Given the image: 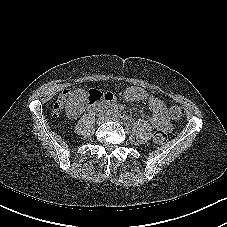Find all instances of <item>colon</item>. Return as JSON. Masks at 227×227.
<instances>
[{"mask_svg":"<svg viewBox=\"0 0 227 227\" xmlns=\"http://www.w3.org/2000/svg\"><path fill=\"white\" fill-rule=\"evenodd\" d=\"M70 90H64L56 99L54 106H53V115L58 117L61 110L63 109L66 100L69 96ZM169 115L173 120H179L182 116V112L179 106L172 104L169 108ZM167 134L164 130L159 129L154 133L153 140L156 144H162L166 141Z\"/></svg>","mask_w":227,"mask_h":227,"instance_id":"1","label":"colon"}]
</instances>
